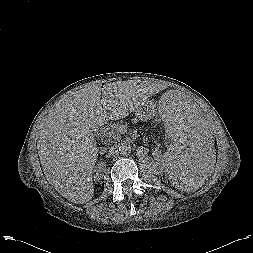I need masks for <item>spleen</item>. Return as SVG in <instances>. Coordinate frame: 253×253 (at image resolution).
<instances>
[{
    "mask_svg": "<svg viewBox=\"0 0 253 253\" xmlns=\"http://www.w3.org/2000/svg\"><path fill=\"white\" fill-rule=\"evenodd\" d=\"M158 113L163 120L164 173L180 190L199 188L213 168L216 131L212 119L179 92L165 94Z\"/></svg>",
    "mask_w": 253,
    "mask_h": 253,
    "instance_id": "spleen-1",
    "label": "spleen"
}]
</instances>
